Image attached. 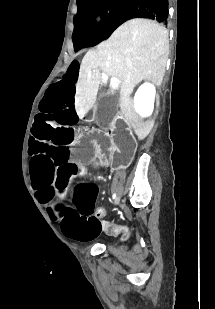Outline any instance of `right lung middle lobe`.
I'll return each mask as SVG.
<instances>
[{"instance_id": "dd1d6c3e", "label": "right lung middle lobe", "mask_w": 215, "mask_h": 309, "mask_svg": "<svg viewBox=\"0 0 215 309\" xmlns=\"http://www.w3.org/2000/svg\"><path fill=\"white\" fill-rule=\"evenodd\" d=\"M132 0H77L78 13L75 17V26L72 36L74 50L95 46L109 37L117 28V22ZM97 14L103 20L100 24L94 23Z\"/></svg>"}]
</instances>
